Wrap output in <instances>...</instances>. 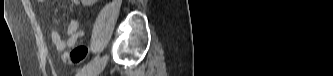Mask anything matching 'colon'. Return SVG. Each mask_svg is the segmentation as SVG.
Here are the masks:
<instances>
[{
  "label": "colon",
  "mask_w": 333,
  "mask_h": 76,
  "mask_svg": "<svg viewBox=\"0 0 333 76\" xmlns=\"http://www.w3.org/2000/svg\"><path fill=\"white\" fill-rule=\"evenodd\" d=\"M88 54V48L84 45H80L70 52H66L62 55L64 62L69 64H78L82 62Z\"/></svg>",
  "instance_id": "1"
}]
</instances>
